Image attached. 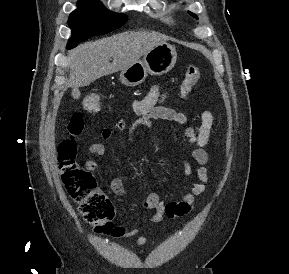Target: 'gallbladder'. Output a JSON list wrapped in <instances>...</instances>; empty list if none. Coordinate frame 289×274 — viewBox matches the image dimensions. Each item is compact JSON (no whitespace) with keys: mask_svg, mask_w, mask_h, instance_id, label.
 <instances>
[{"mask_svg":"<svg viewBox=\"0 0 289 274\" xmlns=\"http://www.w3.org/2000/svg\"><path fill=\"white\" fill-rule=\"evenodd\" d=\"M71 95L74 99H78L80 96V91L78 89H73Z\"/></svg>","mask_w":289,"mask_h":274,"instance_id":"1","label":"gallbladder"}]
</instances>
